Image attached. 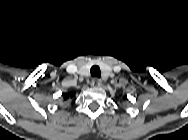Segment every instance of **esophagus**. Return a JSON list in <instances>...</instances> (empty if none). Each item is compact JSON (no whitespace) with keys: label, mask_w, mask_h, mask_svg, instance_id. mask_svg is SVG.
Here are the masks:
<instances>
[{"label":"esophagus","mask_w":188,"mask_h":140,"mask_svg":"<svg viewBox=\"0 0 188 140\" xmlns=\"http://www.w3.org/2000/svg\"><path fill=\"white\" fill-rule=\"evenodd\" d=\"M101 84H102V81L98 78H94L92 80V85L95 86V87H99V86H101Z\"/></svg>","instance_id":"1"}]
</instances>
